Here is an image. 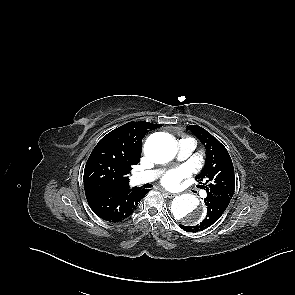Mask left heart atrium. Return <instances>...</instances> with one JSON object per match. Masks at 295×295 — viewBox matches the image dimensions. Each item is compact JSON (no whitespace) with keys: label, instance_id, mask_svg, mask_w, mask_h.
<instances>
[{"label":"left heart atrium","instance_id":"left-heart-atrium-1","mask_svg":"<svg viewBox=\"0 0 295 295\" xmlns=\"http://www.w3.org/2000/svg\"><path fill=\"white\" fill-rule=\"evenodd\" d=\"M188 175L189 170L186 167L171 169L162 177L161 183L167 188H176Z\"/></svg>","mask_w":295,"mask_h":295}]
</instances>
